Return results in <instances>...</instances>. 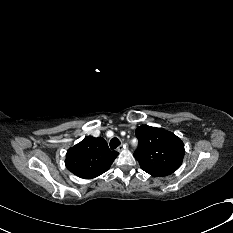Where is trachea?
Masks as SVG:
<instances>
[{
  "instance_id": "3493384b",
  "label": "trachea",
  "mask_w": 233,
  "mask_h": 233,
  "mask_svg": "<svg viewBox=\"0 0 233 233\" xmlns=\"http://www.w3.org/2000/svg\"><path fill=\"white\" fill-rule=\"evenodd\" d=\"M118 146H119V139L116 137L112 138L110 141V148L113 150L116 149Z\"/></svg>"
}]
</instances>
